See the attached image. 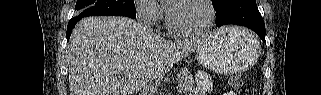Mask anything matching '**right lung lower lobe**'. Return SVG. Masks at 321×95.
<instances>
[{"instance_id": "1", "label": "right lung lower lobe", "mask_w": 321, "mask_h": 95, "mask_svg": "<svg viewBox=\"0 0 321 95\" xmlns=\"http://www.w3.org/2000/svg\"><path fill=\"white\" fill-rule=\"evenodd\" d=\"M80 19H81V18L74 17V18H72V19L69 21L68 26H67V40H69L70 35H71V32H72V29L74 28V26L76 25V23H77Z\"/></svg>"}]
</instances>
